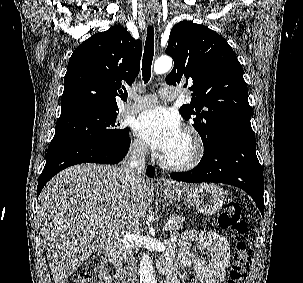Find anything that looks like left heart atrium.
Masks as SVG:
<instances>
[{"instance_id":"left-heart-atrium-1","label":"left heart atrium","mask_w":303,"mask_h":283,"mask_svg":"<svg viewBox=\"0 0 303 283\" xmlns=\"http://www.w3.org/2000/svg\"><path fill=\"white\" fill-rule=\"evenodd\" d=\"M134 129L140 139L163 154L167 153L182 135L178 116L163 107H154L142 113Z\"/></svg>"}]
</instances>
